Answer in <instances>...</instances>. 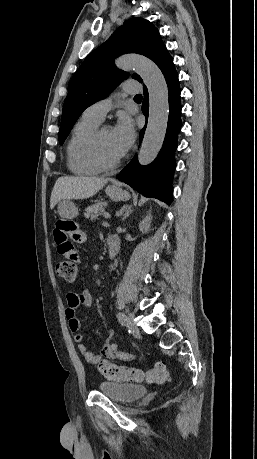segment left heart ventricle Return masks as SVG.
Masks as SVG:
<instances>
[{"instance_id": "1", "label": "left heart ventricle", "mask_w": 257, "mask_h": 459, "mask_svg": "<svg viewBox=\"0 0 257 459\" xmlns=\"http://www.w3.org/2000/svg\"><path fill=\"white\" fill-rule=\"evenodd\" d=\"M100 150L103 157L112 161L120 157L112 135V129H106L100 137Z\"/></svg>"}]
</instances>
